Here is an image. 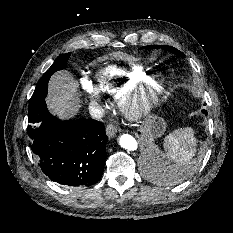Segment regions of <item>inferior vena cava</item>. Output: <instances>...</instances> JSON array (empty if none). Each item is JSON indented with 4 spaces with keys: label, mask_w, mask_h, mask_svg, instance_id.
<instances>
[{
    "label": "inferior vena cava",
    "mask_w": 233,
    "mask_h": 233,
    "mask_svg": "<svg viewBox=\"0 0 233 233\" xmlns=\"http://www.w3.org/2000/svg\"><path fill=\"white\" fill-rule=\"evenodd\" d=\"M90 114L94 118H102L104 109L97 102H93L90 106Z\"/></svg>",
    "instance_id": "inferior-vena-cava-1"
}]
</instances>
